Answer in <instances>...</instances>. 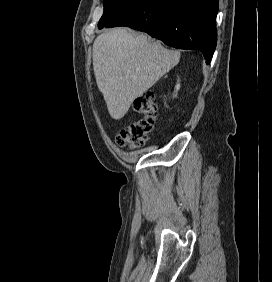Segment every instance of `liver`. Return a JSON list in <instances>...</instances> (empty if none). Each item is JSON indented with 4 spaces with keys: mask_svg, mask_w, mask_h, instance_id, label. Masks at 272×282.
Here are the masks:
<instances>
[{
    "mask_svg": "<svg viewBox=\"0 0 272 282\" xmlns=\"http://www.w3.org/2000/svg\"><path fill=\"white\" fill-rule=\"evenodd\" d=\"M92 56L97 86L110 116L119 120L136 98L178 64L180 52L145 34L116 28L95 39Z\"/></svg>",
    "mask_w": 272,
    "mask_h": 282,
    "instance_id": "6515ba94",
    "label": "liver"
}]
</instances>
